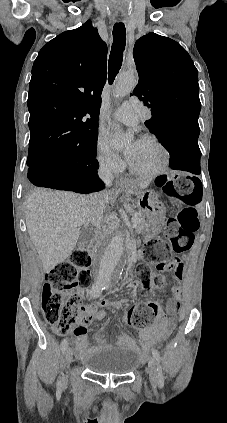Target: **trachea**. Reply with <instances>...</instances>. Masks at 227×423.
I'll return each mask as SVG.
<instances>
[{
  "label": "trachea",
  "mask_w": 227,
  "mask_h": 423,
  "mask_svg": "<svg viewBox=\"0 0 227 423\" xmlns=\"http://www.w3.org/2000/svg\"><path fill=\"white\" fill-rule=\"evenodd\" d=\"M126 45V29L122 22L115 23L113 27V44L109 56L108 81L113 83L117 73L119 72L122 61L123 51Z\"/></svg>",
  "instance_id": "trachea-1"
}]
</instances>
